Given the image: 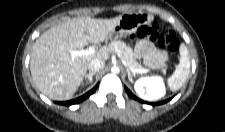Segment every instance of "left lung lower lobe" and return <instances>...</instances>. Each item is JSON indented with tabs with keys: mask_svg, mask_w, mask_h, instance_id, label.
<instances>
[{
	"mask_svg": "<svg viewBox=\"0 0 225 132\" xmlns=\"http://www.w3.org/2000/svg\"><path fill=\"white\" fill-rule=\"evenodd\" d=\"M125 90L127 91V93L129 94L130 97H132L133 99H137L126 87H125ZM167 101L168 100H165V101H162V102H159V103H156V104L152 103V105L163 104V103H166ZM143 103H145V102H143Z\"/></svg>",
	"mask_w": 225,
	"mask_h": 132,
	"instance_id": "left-lung-lower-lobe-1",
	"label": "left lung lower lobe"
}]
</instances>
